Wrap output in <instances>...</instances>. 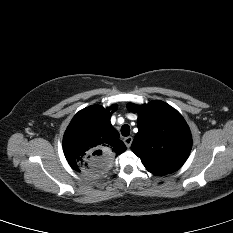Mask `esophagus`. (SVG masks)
Listing matches in <instances>:
<instances>
[{
	"label": "esophagus",
	"mask_w": 233,
	"mask_h": 233,
	"mask_svg": "<svg viewBox=\"0 0 233 233\" xmlns=\"http://www.w3.org/2000/svg\"><path fill=\"white\" fill-rule=\"evenodd\" d=\"M133 138L131 136L125 137L124 138V143L127 148H129L132 144Z\"/></svg>",
	"instance_id": "esophagus-1"
}]
</instances>
